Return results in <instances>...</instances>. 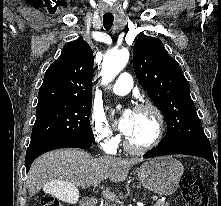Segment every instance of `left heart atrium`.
I'll list each match as a JSON object with an SVG mask.
<instances>
[{
	"label": "left heart atrium",
	"instance_id": "39dd6f15",
	"mask_svg": "<svg viewBox=\"0 0 221 206\" xmlns=\"http://www.w3.org/2000/svg\"><path fill=\"white\" fill-rule=\"evenodd\" d=\"M133 117H134V111L127 109L122 113L117 123L119 130L126 136L131 131L132 124H133Z\"/></svg>",
	"mask_w": 221,
	"mask_h": 206
}]
</instances>
